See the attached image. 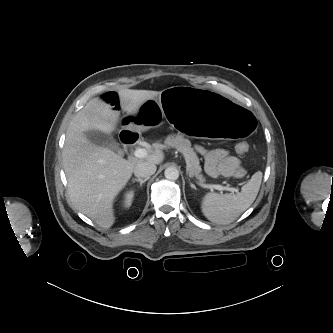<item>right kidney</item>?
Masks as SVG:
<instances>
[{"label": "right kidney", "mask_w": 333, "mask_h": 333, "mask_svg": "<svg viewBox=\"0 0 333 333\" xmlns=\"http://www.w3.org/2000/svg\"><path fill=\"white\" fill-rule=\"evenodd\" d=\"M133 192L130 191V192H127L124 196V200H123V204L124 206L126 207H129L131 205V202H132V199H133Z\"/></svg>", "instance_id": "ca27d5eb"}]
</instances>
